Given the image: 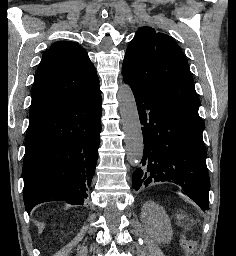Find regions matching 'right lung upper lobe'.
Segmentation results:
<instances>
[{"mask_svg":"<svg viewBox=\"0 0 236 256\" xmlns=\"http://www.w3.org/2000/svg\"><path fill=\"white\" fill-rule=\"evenodd\" d=\"M98 84L96 69L80 45L55 42L44 52L35 75L29 123Z\"/></svg>","mask_w":236,"mask_h":256,"instance_id":"1","label":"right lung upper lobe"}]
</instances>
